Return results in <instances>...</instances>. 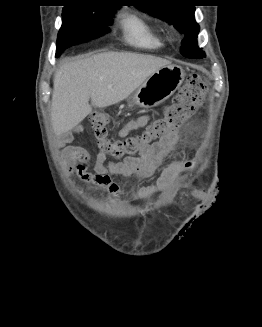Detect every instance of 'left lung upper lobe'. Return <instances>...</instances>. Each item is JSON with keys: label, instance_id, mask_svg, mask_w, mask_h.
Returning a JSON list of instances; mask_svg holds the SVG:
<instances>
[{"label": "left lung upper lobe", "instance_id": "obj_1", "mask_svg": "<svg viewBox=\"0 0 262 327\" xmlns=\"http://www.w3.org/2000/svg\"><path fill=\"white\" fill-rule=\"evenodd\" d=\"M137 8L173 24L185 34L180 52L187 58H203L205 53L197 46L199 25L194 18L195 6L184 0H141Z\"/></svg>", "mask_w": 262, "mask_h": 327}]
</instances>
